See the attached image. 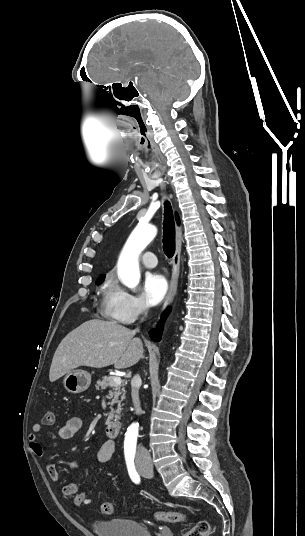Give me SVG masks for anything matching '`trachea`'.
<instances>
[{"mask_svg":"<svg viewBox=\"0 0 305 536\" xmlns=\"http://www.w3.org/2000/svg\"><path fill=\"white\" fill-rule=\"evenodd\" d=\"M163 250L168 258H172L175 253V222L171 204L168 201L164 203V222H163Z\"/></svg>","mask_w":305,"mask_h":536,"instance_id":"3493384b","label":"trachea"}]
</instances>
